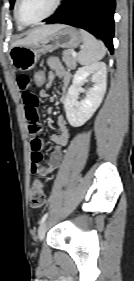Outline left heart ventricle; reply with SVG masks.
I'll return each mask as SVG.
<instances>
[{"instance_id": "obj_1", "label": "left heart ventricle", "mask_w": 134, "mask_h": 281, "mask_svg": "<svg viewBox=\"0 0 134 281\" xmlns=\"http://www.w3.org/2000/svg\"><path fill=\"white\" fill-rule=\"evenodd\" d=\"M55 0H21L19 14L24 22H34L44 17L54 6Z\"/></svg>"}]
</instances>
